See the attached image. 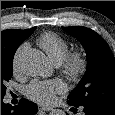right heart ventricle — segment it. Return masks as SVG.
<instances>
[{
    "mask_svg": "<svg viewBox=\"0 0 115 115\" xmlns=\"http://www.w3.org/2000/svg\"><path fill=\"white\" fill-rule=\"evenodd\" d=\"M37 43L55 65H59L69 52L68 42L54 32L42 34Z\"/></svg>",
    "mask_w": 115,
    "mask_h": 115,
    "instance_id": "1",
    "label": "right heart ventricle"
}]
</instances>
